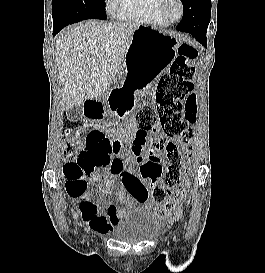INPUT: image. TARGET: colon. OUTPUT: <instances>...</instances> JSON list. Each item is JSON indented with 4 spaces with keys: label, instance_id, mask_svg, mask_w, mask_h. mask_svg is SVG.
Returning <instances> with one entry per match:
<instances>
[{
    "label": "colon",
    "instance_id": "5ec220e1",
    "mask_svg": "<svg viewBox=\"0 0 265 273\" xmlns=\"http://www.w3.org/2000/svg\"><path fill=\"white\" fill-rule=\"evenodd\" d=\"M197 57L198 50L195 47L183 44L179 56L159 80L154 105H143L136 115L139 130L131 150L137 160H141L149 135L157 126L161 128V133L152 135L150 155L165 156L168 165L164 169L155 168L152 171V197L156 203L167 208L173 207L186 192L181 180L187 172L185 160L190 156L184 149L193 144V141H189L190 126L197 120L196 96L191 94ZM67 134L71 139L64 152L68 178L65 187L72 197L91 191L87 177L97 169L110 167L113 147L110 136L99 129L70 130Z\"/></svg>",
    "mask_w": 265,
    "mask_h": 273
}]
</instances>
